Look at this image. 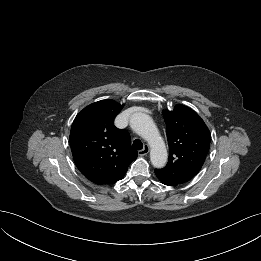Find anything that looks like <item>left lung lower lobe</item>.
Listing matches in <instances>:
<instances>
[{"mask_svg":"<svg viewBox=\"0 0 261 261\" xmlns=\"http://www.w3.org/2000/svg\"><path fill=\"white\" fill-rule=\"evenodd\" d=\"M157 176V178L164 184V185H167V186H176V185H178L179 183H177V182H174V181H172V180H170V179H167V178H164V177H162V176H159V175H156Z\"/></svg>","mask_w":261,"mask_h":261,"instance_id":"left-lung-lower-lobe-1","label":"left lung lower lobe"}]
</instances>
